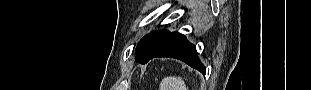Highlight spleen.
Instances as JSON below:
<instances>
[{
  "mask_svg": "<svg viewBox=\"0 0 311 90\" xmlns=\"http://www.w3.org/2000/svg\"><path fill=\"white\" fill-rule=\"evenodd\" d=\"M160 90H187V88L181 77L169 76L162 80Z\"/></svg>",
  "mask_w": 311,
  "mask_h": 90,
  "instance_id": "spleen-1",
  "label": "spleen"
}]
</instances>
